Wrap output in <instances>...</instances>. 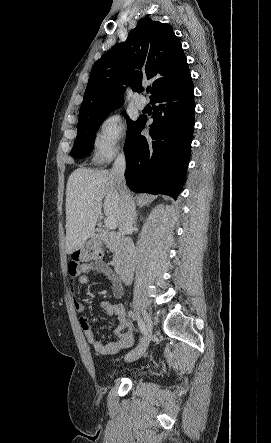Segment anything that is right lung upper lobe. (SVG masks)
Returning a JSON list of instances; mask_svg holds the SVG:
<instances>
[{
    "instance_id": "right-lung-upper-lobe-1",
    "label": "right lung upper lobe",
    "mask_w": 271,
    "mask_h": 443,
    "mask_svg": "<svg viewBox=\"0 0 271 443\" xmlns=\"http://www.w3.org/2000/svg\"><path fill=\"white\" fill-rule=\"evenodd\" d=\"M191 78L180 40L171 25L150 18L139 21L124 43L104 54L92 67L79 119L103 116L121 106L125 88L134 91L152 79V99Z\"/></svg>"
}]
</instances>
